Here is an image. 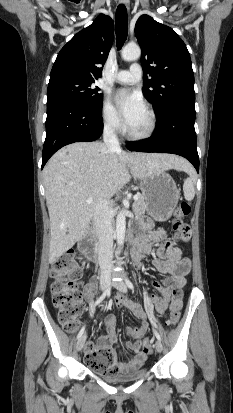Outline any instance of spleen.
Instances as JSON below:
<instances>
[{
    "mask_svg": "<svg viewBox=\"0 0 233 413\" xmlns=\"http://www.w3.org/2000/svg\"><path fill=\"white\" fill-rule=\"evenodd\" d=\"M190 176L185 180L183 185L184 197L191 201L195 196V176L193 172H189Z\"/></svg>",
    "mask_w": 233,
    "mask_h": 413,
    "instance_id": "obj_1",
    "label": "spleen"
}]
</instances>
